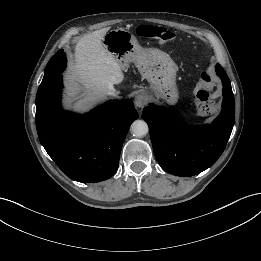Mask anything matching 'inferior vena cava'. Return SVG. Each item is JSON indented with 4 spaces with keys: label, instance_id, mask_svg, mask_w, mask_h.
<instances>
[{
    "label": "inferior vena cava",
    "instance_id": "obj_1",
    "mask_svg": "<svg viewBox=\"0 0 261 261\" xmlns=\"http://www.w3.org/2000/svg\"><path fill=\"white\" fill-rule=\"evenodd\" d=\"M109 95L118 96V92L115 91V90H112V91L109 92Z\"/></svg>",
    "mask_w": 261,
    "mask_h": 261
}]
</instances>
